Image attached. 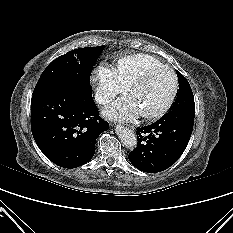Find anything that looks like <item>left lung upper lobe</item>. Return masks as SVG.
<instances>
[{
	"instance_id": "5c2ea615",
	"label": "left lung upper lobe",
	"mask_w": 233,
	"mask_h": 233,
	"mask_svg": "<svg viewBox=\"0 0 233 233\" xmlns=\"http://www.w3.org/2000/svg\"><path fill=\"white\" fill-rule=\"evenodd\" d=\"M177 77L179 92L173 106L166 115L194 121L195 103L191 87L187 79L179 71H177Z\"/></svg>"
}]
</instances>
